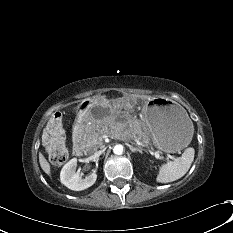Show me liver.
<instances>
[{"mask_svg": "<svg viewBox=\"0 0 233 233\" xmlns=\"http://www.w3.org/2000/svg\"><path fill=\"white\" fill-rule=\"evenodd\" d=\"M39 163H40L42 170L46 174L49 175L50 174V164L48 163V161L46 160V158L44 157V155L42 153L39 154Z\"/></svg>", "mask_w": 233, "mask_h": 233, "instance_id": "obj_1", "label": "liver"}]
</instances>
